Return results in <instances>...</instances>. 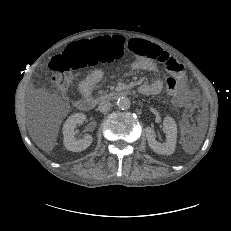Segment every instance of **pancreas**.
<instances>
[{"mask_svg": "<svg viewBox=\"0 0 231 231\" xmlns=\"http://www.w3.org/2000/svg\"><path fill=\"white\" fill-rule=\"evenodd\" d=\"M103 92L102 91H99L98 94H102Z\"/></svg>", "mask_w": 231, "mask_h": 231, "instance_id": "cf45deb5", "label": "pancreas"}]
</instances>
